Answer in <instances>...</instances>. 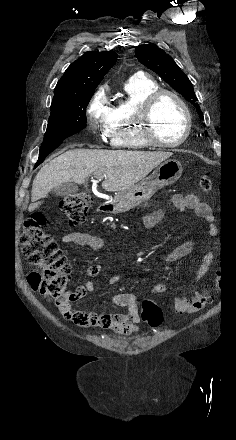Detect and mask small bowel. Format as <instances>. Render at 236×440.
Wrapping results in <instances>:
<instances>
[{
  "label": "small bowel",
  "instance_id": "obj_1",
  "mask_svg": "<svg viewBox=\"0 0 236 440\" xmlns=\"http://www.w3.org/2000/svg\"><path fill=\"white\" fill-rule=\"evenodd\" d=\"M171 201L173 205L180 211L188 209L193 210L197 216L206 221L211 228L213 227L214 218L211 214L209 206L200 201L196 195L188 194L183 196L176 194L172 196ZM147 206L148 204L145 203L143 208L145 209ZM162 217V209H156L145 214V226L147 228L155 227L161 221ZM62 242L66 244H75L82 247H88L94 251H98L104 246V241L101 237L83 232L68 233L62 237ZM192 246V242L189 241L177 246L164 259V263H172L185 257L192 250ZM210 264L211 256L207 254L204 257L202 265L193 278L194 282L200 281L207 274ZM100 271V265H91L86 269V276L88 278H94L99 275ZM120 281L121 276L119 274H114L109 278V283L112 285L117 284ZM169 288V285L165 283H157L153 286L152 293H162L169 290ZM96 290L95 283L88 279L83 281L75 291L69 293L72 300L69 318L73 320H87L74 322V329L91 330L93 326H97L106 330H111L121 336H129L140 330V313L137 307L136 297L133 293L121 292L115 294L111 299V306L126 307V312L112 311L109 305L102 306L99 313L93 311L76 310L71 307L74 302L82 299L88 293L96 292Z\"/></svg>",
  "mask_w": 236,
  "mask_h": 440
}]
</instances>
